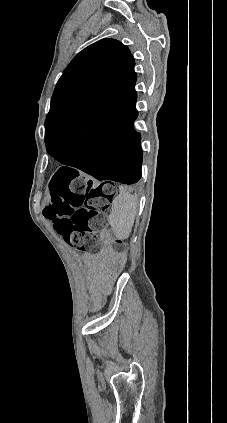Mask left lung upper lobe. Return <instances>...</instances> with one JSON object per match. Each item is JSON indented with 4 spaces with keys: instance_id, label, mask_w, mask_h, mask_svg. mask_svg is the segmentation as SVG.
<instances>
[{
    "instance_id": "1",
    "label": "left lung upper lobe",
    "mask_w": 227,
    "mask_h": 423,
    "mask_svg": "<svg viewBox=\"0 0 227 423\" xmlns=\"http://www.w3.org/2000/svg\"><path fill=\"white\" fill-rule=\"evenodd\" d=\"M134 66L128 47L114 39L78 53L55 87L45 121L46 147L110 113L137 112Z\"/></svg>"
}]
</instances>
